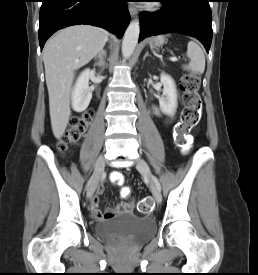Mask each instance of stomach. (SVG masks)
Instances as JSON below:
<instances>
[{
    "instance_id": "0dacf381",
    "label": "stomach",
    "mask_w": 258,
    "mask_h": 275,
    "mask_svg": "<svg viewBox=\"0 0 258 275\" xmlns=\"http://www.w3.org/2000/svg\"><path fill=\"white\" fill-rule=\"evenodd\" d=\"M164 41H165L164 36L160 35L151 39L150 44L155 46H160L164 43Z\"/></svg>"
}]
</instances>
